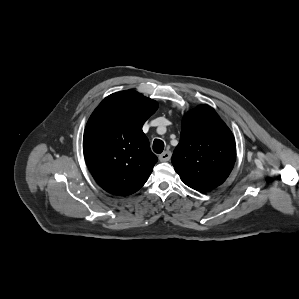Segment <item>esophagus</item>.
Instances as JSON below:
<instances>
[{"mask_svg":"<svg viewBox=\"0 0 299 299\" xmlns=\"http://www.w3.org/2000/svg\"><path fill=\"white\" fill-rule=\"evenodd\" d=\"M172 153L169 150L164 151L162 154L159 155V160L161 162H167L171 159Z\"/></svg>","mask_w":299,"mask_h":299,"instance_id":"esophagus-1","label":"esophagus"}]
</instances>
